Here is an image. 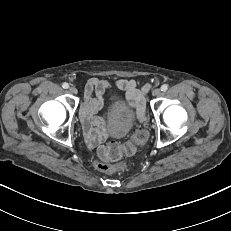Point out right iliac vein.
Returning <instances> with one entry per match:
<instances>
[{"mask_svg": "<svg viewBox=\"0 0 231 231\" xmlns=\"http://www.w3.org/2000/svg\"><path fill=\"white\" fill-rule=\"evenodd\" d=\"M69 92H70L71 94H77V89H76V87L71 86V87L69 88Z\"/></svg>", "mask_w": 231, "mask_h": 231, "instance_id": "63e3f726", "label": "right iliac vein"}]
</instances>
